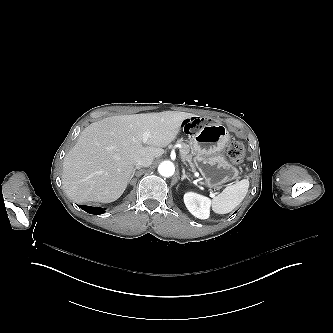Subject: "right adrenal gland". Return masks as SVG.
Masks as SVG:
<instances>
[{"label": "right adrenal gland", "mask_w": 333, "mask_h": 333, "mask_svg": "<svg viewBox=\"0 0 333 333\" xmlns=\"http://www.w3.org/2000/svg\"><path fill=\"white\" fill-rule=\"evenodd\" d=\"M136 169H140V167H136V168L134 169V172H133L132 176L130 177V180L133 178V176H134V174H135V171H136Z\"/></svg>", "instance_id": "right-adrenal-gland-1"}]
</instances>
